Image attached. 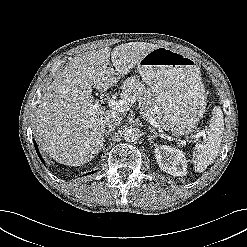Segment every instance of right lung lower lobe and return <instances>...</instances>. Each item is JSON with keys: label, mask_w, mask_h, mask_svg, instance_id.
I'll list each match as a JSON object with an SVG mask.
<instances>
[{"label": "right lung lower lobe", "mask_w": 247, "mask_h": 247, "mask_svg": "<svg viewBox=\"0 0 247 247\" xmlns=\"http://www.w3.org/2000/svg\"><path fill=\"white\" fill-rule=\"evenodd\" d=\"M34 146H35L36 152H37V154H38V156H39L40 160H41V161H42V163L44 164V160H43V158H42L41 154L39 153V150H38V147H37V144H36V142H35V141H34ZM92 173H94V172H91V173H88V174H92Z\"/></svg>", "instance_id": "1"}]
</instances>
